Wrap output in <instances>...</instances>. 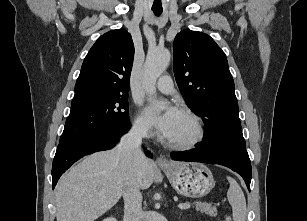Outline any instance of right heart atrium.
Here are the masks:
<instances>
[{
	"label": "right heart atrium",
	"mask_w": 307,
	"mask_h": 221,
	"mask_svg": "<svg viewBox=\"0 0 307 221\" xmlns=\"http://www.w3.org/2000/svg\"><path fill=\"white\" fill-rule=\"evenodd\" d=\"M134 130L139 136L143 138H150L154 135L150 124L142 115H138L136 117L134 122Z\"/></svg>",
	"instance_id": "1"
}]
</instances>
